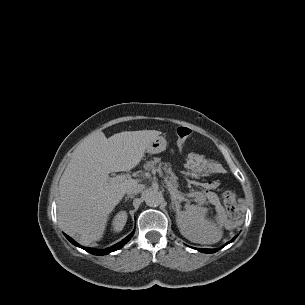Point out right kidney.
Instances as JSON below:
<instances>
[{"instance_id": "ca27d5eb", "label": "right kidney", "mask_w": 305, "mask_h": 305, "mask_svg": "<svg viewBox=\"0 0 305 305\" xmlns=\"http://www.w3.org/2000/svg\"><path fill=\"white\" fill-rule=\"evenodd\" d=\"M127 222V213L125 211H120L117 213L112 221V228L114 232H120L123 230Z\"/></svg>"}]
</instances>
